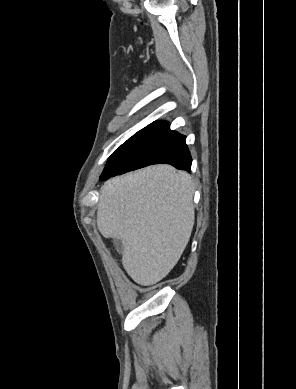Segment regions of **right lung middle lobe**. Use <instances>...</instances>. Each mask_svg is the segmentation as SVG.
<instances>
[{
	"instance_id": "dd1d6c3e",
	"label": "right lung middle lobe",
	"mask_w": 296,
	"mask_h": 389,
	"mask_svg": "<svg viewBox=\"0 0 296 389\" xmlns=\"http://www.w3.org/2000/svg\"><path fill=\"white\" fill-rule=\"evenodd\" d=\"M170 132V125L166 121L149 124L130 137L110 156L104 171L141 166L150 151Z\"/></svg>"
}]
</instances>
